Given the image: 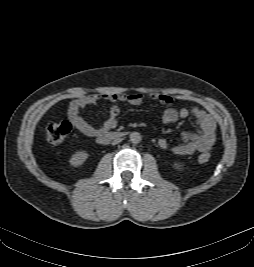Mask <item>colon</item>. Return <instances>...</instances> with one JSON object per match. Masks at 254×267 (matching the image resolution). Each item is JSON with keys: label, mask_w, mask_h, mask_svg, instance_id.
<instances>
[{"label": "colon", "mask_w": 254, "mask_h": 267, "mask_svg": "<svg viewBox=\"0 0 254 267\" xmlns=\"http://www.w3.org/2000/svg\"><path fill=\"white\" fill-rule=\"evenodd\" d=\"M71 132V123L68 121L50 123L46 127V138L50 143H61ZM211 158L209 152H203L199 155L200 163H207Z\"/></svg>", "instance_id": "colon-1"}]
</instances>
